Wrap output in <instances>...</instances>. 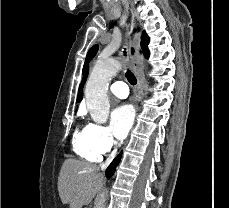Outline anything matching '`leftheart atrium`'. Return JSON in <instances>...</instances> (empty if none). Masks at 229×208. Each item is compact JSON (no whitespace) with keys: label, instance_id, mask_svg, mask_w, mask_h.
<instances>
[{"label":"left heart atrium","instance_id":"1","mask_svg":"<svg viewBox=\"0 0 229 208\" xmlns=\"http://www.w3.org/2000/svg\"><path fill=\"white\" fill-rule=\"evenodd\" d=\"M134 109L129 104H122L111 115V128L117 139H124L134 122Z\"/></svg>","mask_w":229,"mask_h":208}]
</instances>
